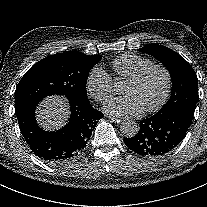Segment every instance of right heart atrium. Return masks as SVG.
<instances>
[{"mask_svg":"<svg viewBox=\"0 0 207 207\" xmlns=\"http://www.w3.org/2000/svg\"><path fill=\"white\" fill-rule=\"evenodd\" d=\"M86 88L91 97L100 103L107 101L114 93L110 76L100 66H95L89 71Z\"/></svg>","mask_w":207,"mask_h":207,"instance_id":"obj_1","label":"right heart atrium"}]
</instances>
